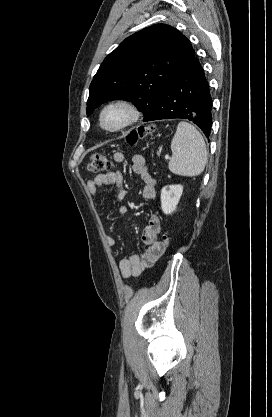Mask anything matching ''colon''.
Here are the masks:
<instances>
[{"label": "colon", "mask_w": 272, "mask_h": 417, "mask_svg": "<svg viewBox=\"0 0 272 417\" xmlns=\"http://www.w3.org/2000/svg\"><path fill=\"white\" fill-rule=\"evenodd\" d=\"M153 127L151 126H142L137 130L132 131L126 138L129 144H135L140 139L148 136L152 133ZM113 167L112 162L104 155L100 153H94L88 163L89 171L93 173L97 172H107ZM160 244L163 248H167L169 244V236L164 234L160 239Z\"/></svg>", "instance_id": "5ec220e1"}]
</instances>
